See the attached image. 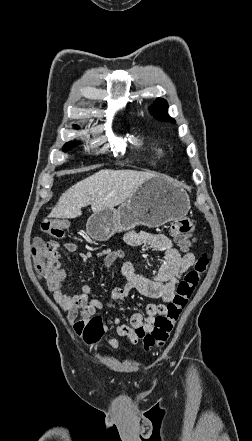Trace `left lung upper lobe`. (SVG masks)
<instances>
[{
    "mask_svg": "<svg viewBox=\"0 0 252 441\" xmlns=\"http://www.w3.org/2000/svg\"><path fill=\"white\" fill-rule=\"evenodd\" d=\"M167 108H168L167 102L164 99L159 98L151 106L150 111L155 118L163 121H171L174 123L175 122L174 119L169 117V115L167 114Z\"/></svg>",
    "mask_w": 252,
    "mask_h": 441,
    "instance_id": "1",
    "label": "left lung upper lobe"
}]
</instances>
